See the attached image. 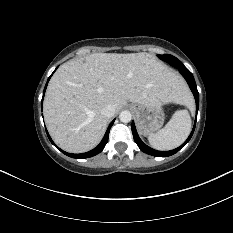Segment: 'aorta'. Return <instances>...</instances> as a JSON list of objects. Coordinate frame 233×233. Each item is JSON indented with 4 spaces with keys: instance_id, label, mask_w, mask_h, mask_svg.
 <instances>
[{
    "instance_id": "1",
    "label": "aorta",
    "mask_w": 233,
    "mask_h": 233,
    "mask_svg": "<svg viewBox=\"0 0 233 233\" xmlns=\"http://www.w3.org/2000/svg\"><path fill=\"white\" fill-rule=\"evenodd\" d=\"M119 119L123 123H128L132 119V114L129 111L124 110L119 114Z\"/></svg>"
}]
</instances>
